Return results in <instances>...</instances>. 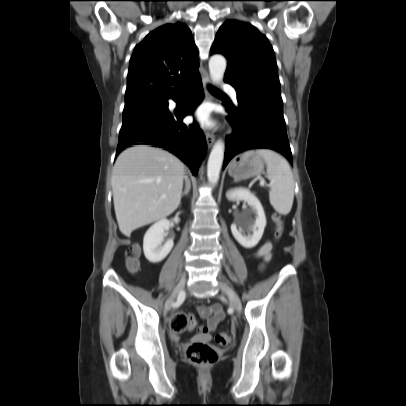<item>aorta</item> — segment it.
I'll return each instance as SVG.
<instances>
[{"label": "aorta", "mask_w": 406, "mask_h": 406, "mask_svg": "<svg viewBox=\"0 0 406 406\" xmlns=\"http://www.w3.org/2000/svg\"><path fill=\"white\" fill-rule=\"evenodd\" d=\"M226 59L222 55H213L209 60L210 77L214 83L223 80L226 70ZM224 143L217 141L213 146L208 163L207 177L210 184L215 185L219 180L220 170L224 159Z\"/></svg>", "instance_id": "762f6f07"}]
</instances>
